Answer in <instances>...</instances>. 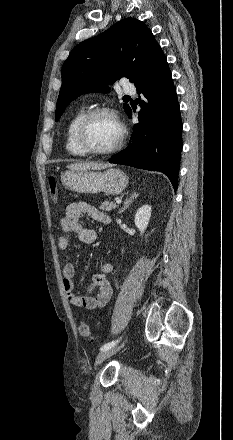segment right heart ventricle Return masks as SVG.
<instances>
[{
    "label": "right heart ventricle",
    "instance_id": "1",
    "mask_svg": "<svg viewBox=\"0 0 233 440\" xmlns=\"http://www.w3.org/2000/svg\"><path fill=\"white\" fill-rule=\"evenodd\" d=\"M85 113H86L85 108L78 109L67 125L65 147L67 152L72 156H76V157L86 156V154L78 147L75 139L76 127Z\"/></svg>",
    "mask_w": 233,
    "mask_h": 440
}]
</instances>
